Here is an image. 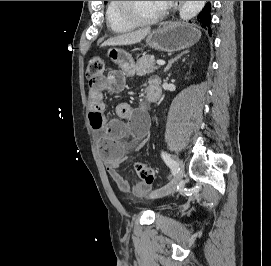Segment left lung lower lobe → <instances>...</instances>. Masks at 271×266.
Returning <instances> with one entry per match:
<instances>
[{"label":"left lung lower lobe","instance_id":"obj_1","mask_svg":"<svg viewBox=\"0 0 271 266\" xmlns=\"http://www.w3.org/2000/svg\"><path fill=\"white\" fill-rule=\"evenodd\" d=\"M199 24L211 34V16H210V4H206L203 10L198 15Z\"/></svg>","mask_w":271,"mask_h":266}]
</instances>
